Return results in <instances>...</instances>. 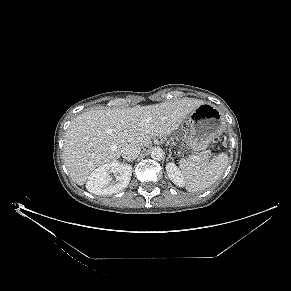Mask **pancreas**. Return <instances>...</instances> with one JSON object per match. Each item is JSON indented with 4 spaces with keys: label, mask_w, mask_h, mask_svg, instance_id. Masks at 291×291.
Instances as JSON below:
<instances>
[{
    "label": "pancreas",
    "mask_w": 291,
    "mask_h": 291,
    "mask_svg": "<svg viewBox=\"0 0 291 291\" xmlns=\"http://www.w3.org/2000/svg\"><path fill=\"white\" fill-rule=\"evenodd\" d=\"M196 155L197 157L200 158V160L198 161L199 163L206 164L208 162L209 156L207 153L201 152V153H197Z\"/></svg>",
    "instance_id": "pancreas-1"
}]
</instances>
